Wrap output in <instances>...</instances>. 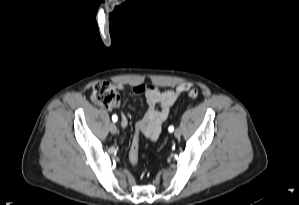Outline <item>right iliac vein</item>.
<instances>
[{"instance_id": "obj_1", "label": "right iliac vein", "mask_w": 299, "mask_h": 205, "mask_svg": "<svg viewBox=\"0 0 299 205\" xmlns=\"http://www.w3.org/2000/svg\"><path fill=\"white\" fill-rule=\"evenodd\" d=\"M110 132L115 135L118 132V128L115 123L110 124Z\"/></svg>"}]
</instances>
